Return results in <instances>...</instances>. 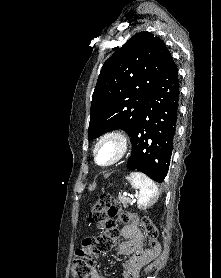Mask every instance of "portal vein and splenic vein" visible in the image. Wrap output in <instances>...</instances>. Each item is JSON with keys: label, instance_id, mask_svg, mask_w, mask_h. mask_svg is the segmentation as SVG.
Masks as SVG:
<instances>
[{"label": "portal vein and splenic vein", "instance_id": "portal-vein-and-splenic-vein-1", "mask_svg": "<svg viewBox=\"0 0 221 278\" xmlns=\"http://www.w3.org/2000/svg\"><path fill=\"white\" fill-rule=\"evenodd\" d=\"M123 195L127 196L128 194L127 193H124ZM130 200V199H129Z\"/></svg>", "mask_w": 221, "mask_h": 278}]
</instances>
